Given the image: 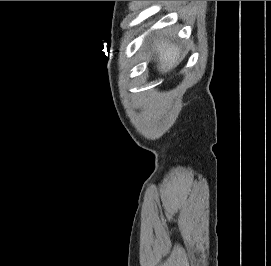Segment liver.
Listing matches in <instances>:
<instances>
[{
  "label": "liver",
  "instance_id": "1",
  "mask_svg": "<svg viewBox=\"0 0 271 266\" xmlns=\"http://www.w3.org/2000/svg\"><path fill=\"white\" fill-rule=\"evenodd\" d=\"M158 53V69L162 73L168 72L177 63L180 57V48L175 44L162 40L156 46Z\"/></svg>",
  "mask_w": 271,
  "mask_h": 266
}]
</instances>
